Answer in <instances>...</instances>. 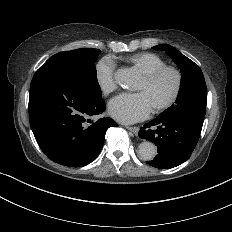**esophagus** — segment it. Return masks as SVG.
Segmentation results:
<instances>
[{"label":"esophagus","instance_id":"obj_1","mask_svg":"<svg viewBox=\"0 0 232 232\" xmlns=\"http://www.w3.org/2000/svg\"><path fill=\"white\" fill-rule=\"evenodd\" d=\"M126 128L128 130H130L131 132H133L135 135H137V133L139 131V127H137V126H127Z\"/></svg>","mask_w":232,"mask_h":232}]
</instances>
